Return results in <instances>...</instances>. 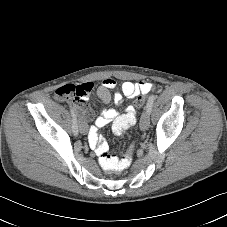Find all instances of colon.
<instances>
[{
  "label": "colon",
  "mask_w": 227,
  "mask_h": 227,
  "mask_svg": "<svg viewBox=\"0 0 227 227\" xmlns=\"http://www.w3.org/2000/svg\"><path fill=\"white\" fill-rule=\"evenodd\" d=\"M81 94H82L81 89L78 86L72 85V84L62 86L58 88L56 91V97L60 100L72 99ZM145 100L146 98L144 96H139L134 102V107L135 108L142 107L143 104L145 103ZM136 149H137V144L131 143L130 149L126 151L123 159L118 160L117 158L109 155L108 153H104L99 156V162L101 166L107 171H111V172L121 171L122 169L128 166L131 160L132 152L133 150H136Z\"/></svg>",
  "instance_id": "obj_1"
}]
</instances>
